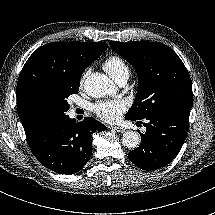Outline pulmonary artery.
Returning <instances> with one entry per match:
<instances>
[{
    "label": "pulmonary artery",
    "instance_id": "e3ab8cb5",
    "mask_svg": "<svg viewBox=\"0 0 215 215\" xmlns=\"http://www.w3.org/2000/svg\"><path fill=\"white\" fill-rule=\"evenodd\" d=\"M127 79H128V75H123L122 77H120V78L118 79V83H119L120 85H124V84L127 82Z\"/></svg>",
    "mask_w": 215,
    "mask_h": 215
}]
</instances>
